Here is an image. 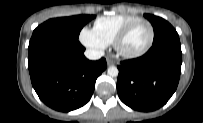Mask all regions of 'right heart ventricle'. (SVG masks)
Wrapping results in <instances>:
<instances>
[{"label": "right heart ventricle", "instance_id": "1", "mask_svg": "<svg viewBox=\"0 0 203 123\" xmlns=\"http://www.w3.org/2000/svg\"><path fill=\"white\" fill-rule=\"evenodd\" d=\"M137 19L140 18L127 14L100 17L95 20L93 31L102 42L109 45L125 26Z\"/></svg>", "mask_w": 203, "mask_h": 123}]
</instances>
